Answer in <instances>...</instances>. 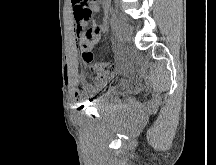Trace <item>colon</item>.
Returning a JSON list of instances; mask_svg holds the SVG:
<instances>
[{
  "instance_id": "colon-1",
  "label": "colon",
  "mask_w": 216,
  "mask_h": 165,
  "mask_svg": "<svg viewBox=\"0 0 216 165\" xmlns=\"http://www.w3.org/2000/svg\"><path fill=\"white\" fill-rule=\"evenodd\" d=\"M76 5H82V2L87 0H73ZM83 16H89V13H81ZM101 28L94 25L86 31V40L80 43V57L87 63L90 68L99 75H106L114 70V65L111 63H93V54L91 51V43L99 39Z\"/></svg>"
}]
</instances>
